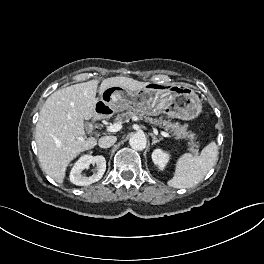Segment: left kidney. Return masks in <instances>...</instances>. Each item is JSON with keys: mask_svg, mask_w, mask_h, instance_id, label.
Listing matches in <instances>:
<instances>
[{"mask_svg": "<svg viewBox=\"0 0 264 264\" xmlns=\"http://www.w3.org/2000/svg\"><path fill=\"white\" fill-rule=\"evenodd\" d=\"M169 153L163 151L162 149H155L152 153V160L160 170H163L169 161Z\"/></svg>", "mask_w": 264, "mask_h": 264, "instance_id": "5707ae66", "label": "left kidney"}]
</instances>
